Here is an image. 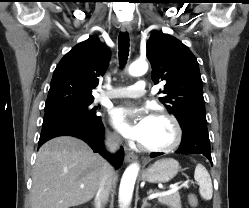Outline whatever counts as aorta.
<instances>
[{
  "instance_id": "1",
  "label": "aorta",
  "mask_w": 249,
  "mask_h": 208,
  "mask_svg": "<svg viewBox=\"0 0 249 208\" xmlns=\"http://www.w3.org/2000/svg\"><path fill=\"white\" fill-rule=\"evenodd\" d=\"M148 70V63L143 60L133 62L129 67L132 76H141ZM139 172V165L132 163L123 173L119 187V204L122 208H128L133 196L134 185Z\"/></svg>"
}]
</instances>
